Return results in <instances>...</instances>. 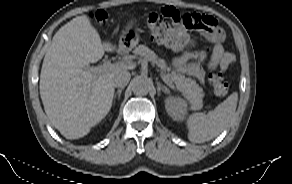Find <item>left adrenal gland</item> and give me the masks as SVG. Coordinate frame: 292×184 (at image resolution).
Masks as SVG:
<instances>
[{
	"label": "left adrenal gland",
	"mask_w": 292,
	"mask_h": 184,
	"mask_svg": "<svg viewBox=\"0 0 292 184\" xmlns=\"http://www.w3.org/2000/svg\"><path fill=\"white\" fill-rule=\"evenodd\" d=\"M157 90H158V96L161 94V91L166 93H169L168 88L165 85H162L160 82H157Z\"/></svg>",
	"instance_id": "a2214340"
}]
</instances>
